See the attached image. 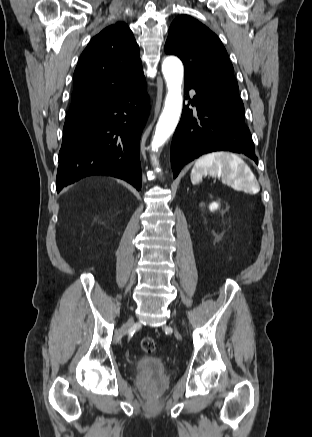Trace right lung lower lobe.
<instances>
[{"mask_svg": "<svg viewBox=\"0 0 312 437\" xmlns=\"http://www.w3.org/2000/svg\"><path fill=\"white\" fill-rule=\"evenodd\" d=\"M145 89L143 75L117 96L65 121L57 192L90 175L117 177L141 189L139 144L149 108Z\"/></svg>", "mask_w": 312, "mask_h": 437, "instance_id": "obj_1", "label": "right lung lower lobe"}]
</instances>
